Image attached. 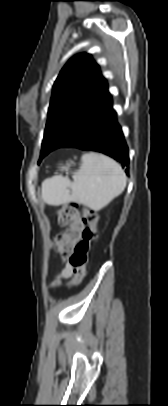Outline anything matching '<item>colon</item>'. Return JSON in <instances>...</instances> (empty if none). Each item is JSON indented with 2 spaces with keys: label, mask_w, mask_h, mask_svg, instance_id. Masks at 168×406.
I'll return each mask as SVG.
<instances>
[{
  "label": "colon",
  "mask_w": 168,
  "mask_h": 406,
  "mask_svg": "<svg viewBox=\"0 0 168 406\" xmlns=\"http://www.w3.org/2000/svg\"><path fill=\"white\" fill-rule=\"evenodd\" d=\"M57 220L66 230L57 236L55 246L69 260L73 278L68 286L75 287L86 275L89 249L97 236L98 216L86 207L71 204L58 210Z\"/></svg>",
  "instance_id": "colon-1"
}]
</instances>
